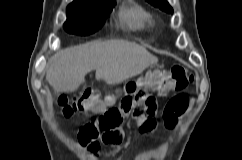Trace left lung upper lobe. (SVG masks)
I'll return each instance as SVG.
<instances>
[{
	"label": "left lung upper lobe",
	"instance_id": "5c2ea615",
	"mask_svg": "<svg viewBox=\"0 0 242 160\" xmlns=\"http://www.w3.org/2000/svg\"><path fill=\"white\" fill-rule=\"evenodd\" d=\"M152 5L159 7L161 10H164L168 13H173L172 7L165 0H147Z\"/></svg>",
	"mask_w": 242,
	"mask_h": 160
}]
</instances>
